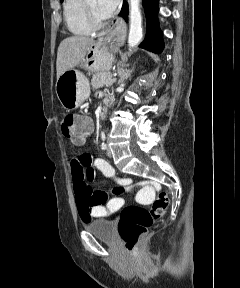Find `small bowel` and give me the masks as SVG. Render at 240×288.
I'll return each mask as SVG.
<instances>
[{
    "mask_svg": "<svg viewBox=\"0 0 240 288\" xmlns=\"http://www.w3.org/2000/svg\"><path fill=\"white\" fill-rule=\"evenodd\" d=\"M107 102H109V100L105 99V103ZM84 142L85 138H82L74 141V144L76 146H82ZM70 167L77 209L84 222L105 217L119 210L124 204V199L121 195L125 191L129 192L133 189L130 186V180L119 178L114 168L106 160L103 158H94L88 152H81L79 155L73 157L70 162ZM95 171H99L107 178L121 185L112 190L114 197L108 199L106 192L93 190L88 184V181L93 180ZM153 193V188L147 187L143 195L150 198Z\"/></svg>",
    "mask_w": 240,
    "mask_h": 288,
    "instance_id": "obj_1",
    "label": "small bowel"
}]
</instances>
